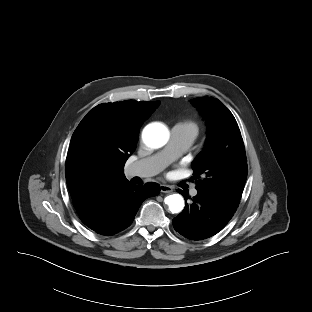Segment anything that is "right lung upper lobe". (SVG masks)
<instances>
[{"label":"right lung upper lobe","instance_id":"obj_1","mask_svg":"<svg viewBox=\"0 0 312 312\" xmlns=\"http://www.w3.org/2000/svg\"><path fill=\"white\" fill-rule=\"evenodd\" d=\"M160 101L103 103L82 119L68 150L65 175L81 220L93 218L124 184L123 167L138 132Z\"/></svg>","mask_w":312,"mask_h":312}]
</instances>
